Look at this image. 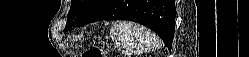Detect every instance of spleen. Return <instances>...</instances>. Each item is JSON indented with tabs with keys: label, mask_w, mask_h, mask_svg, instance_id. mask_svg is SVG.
<instances>
[{
	"label": "spleen",
	"mask_w": 249,
	"mask_h": 57,
	"mask_svg": "<svg viewBox=\"0 0 249 57\" xmlns=\"http://www.w3.org/2000/svg\"><path fill=\"white\" fill-rule=\"evenodd\" d=\"M110 35L117 45L136 54L158 49L161 46L159 38L154 33L130 21L114 23Z\"/></svg>",
	"instance_id": "obj_1"
}]
</instances>
